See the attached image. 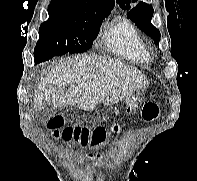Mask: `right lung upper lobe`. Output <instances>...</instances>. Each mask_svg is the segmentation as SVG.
Returning a JSON list of instances; mask_svg holds the SVG:
<instances>
[{
  "instance_id": "cb5924a9",
  "label": "right lung upper lobe",
  "mask_w": 197,
  "mask_h": 181,
  "mask_svg": "<svg viewBox=\"0 0 197 181\" xmlns=\"http://www.w3.org/2000/svg\"><path fill=\"white\" fill-rule=\"evenodd\" d=\"M114 5V0H53L48 6V13L68 18L105 15L111 13Z\"/></svg>"
}]
</instances>
